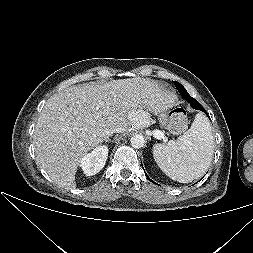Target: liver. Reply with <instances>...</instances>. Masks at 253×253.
<instances>
[{
  "mask_svg": "<svg viewBox=\"0 0 253 253\" xmlns=\"http://www.w3.org/2000/svg\"><path fill=\"white\" fill-rule=\"evenodd\" d=\"M176 95L144 78L73 85L51 96L33 135L37 163L61 188L74 189L81 159L105 132L143 128L150 114L170 108Z\"/></svg>",
  "mask_w": 253,
  "mask_h": 253,
  "instance_id": "1",
  "label": "liver"
}]
</instances>
